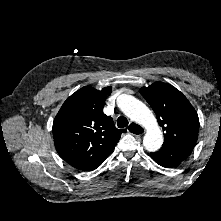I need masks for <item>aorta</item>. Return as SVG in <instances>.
I'll return each instance as SVG.
<instances>
[{
    "instance_id": "762f6f07",
    "label": "aorta",
    "mask_w": 221,
    "mask_h": 221,
    "mask_svg": "<svg viewBox=\"0 0 221 221\" xmlns=\"http://www.w3.org/2000/svg\"><path fill=\"white\" fill-rule=\"evenodd\" d=\"M123 113L147 130L143 145L149 152L159 150L163 144V134L151 110L141 101L130 95H124L120 106Z\"/></svg>"
}]
</instances>
